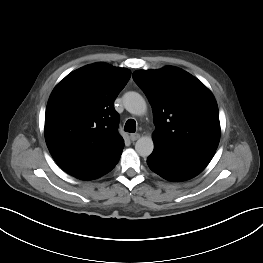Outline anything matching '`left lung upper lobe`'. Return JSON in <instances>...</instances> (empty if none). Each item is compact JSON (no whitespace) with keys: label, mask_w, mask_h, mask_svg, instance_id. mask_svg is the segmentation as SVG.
I'll return each mask as SVG.
<instances>
[{"label":"left lung upper lobe","mask_w":263,"mask_h":263,"mask_svg":"<svg viewBox=\"0 0 263 263\" xmlns=\"http://www.w3.org/2000/svg\"><path fill=\"white\" fill-rule=\"evenodd\" d=\"M133 79L153 108L154 141L216 151L220 139L218 106L201 81L173 66L138 70Z\"/></svg>","instance_id":"5c2ea615"}]
</instances>
